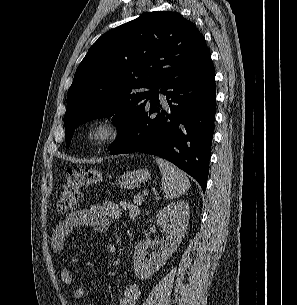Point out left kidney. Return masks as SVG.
Returning a JSON list of instances; mask_svg holds the SVG:
<instances>
[{"label": "left kidney", "instance_id": "obj_1", "mask_svg": "<svg viewBox=\"0 0 297 305\" xmlns=\"http://www.w3.org/2000/svg\"><path fill=\"white\" fill-rule=\"evenodd\" d=\"M157 224L166 232V239L157 253L146 258L148 245L138 242L135 246L133 263L137 277L146 280L157 272L172 256L180 245L187 231L189 221V203L177 201L159 210L156 215Z\"/></svg>", "mask_w": 297, "mask_h": 305}]
</instances>
